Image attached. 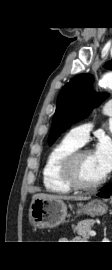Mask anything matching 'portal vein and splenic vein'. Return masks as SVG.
Segmentation results:
<instances>
[{
	"instance_id": "18ae733b",
	"label": "portal vein and splenic vein",
	"mask_w": 112,
	"mask_h": 270,
	"mask_svg": "<svg viewBox=\"0 0 112 270\" xmlns=\"http://www.w3.org/2000/svg\"><path fill=\"white\" fill-rule=\"evenodd\" d=\"M89 235H90L91 237H94V236L96 235V232H95V231H90Z\"/></svg>"
}]
</instances>
